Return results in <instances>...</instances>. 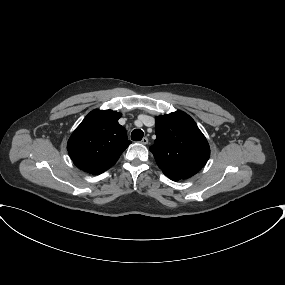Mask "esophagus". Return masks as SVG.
I'll list each match as a JSON object with an SVG mask.
<instances>
[{"label": "esophagus", "mask_w": 285, "mask_h": 285, "mask_svg": "<svg viewBox=\"0 0 285 285\" xmlns=\"http://www.w3.org/2000/svg\"><path fill=\"white\" fill-rule=\"evenodd\" d=\"M141 144H148V138L147 137H144L141 141H140Z\"/></svg>", "instance_id": "obj_1"}]
</instances>
